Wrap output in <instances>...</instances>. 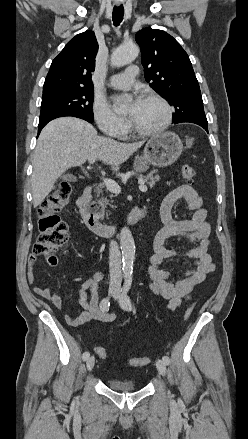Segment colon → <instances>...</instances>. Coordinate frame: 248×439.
Returning a JSON list of instances; mask_svg holds the SVG:
<instances>
[{
  "label": "colon",
  "instance_id": "obj_1",
  "mask_svg": "<svg viewBox=\"0 0 248 439\" xmlns=\"http://www.w3.org/2000/svg\"><path fill=\"white\" fill-rule=\"evenodd\" d=\"M183 179L192 184L195 177V169L191 165H184L182 168ZM72 193V185L69 182H62L49 195L39 209V230L40 234L34 245L33 252L42 255L50 265L57 264L56 251L67 242V224L58 216V212L68 203ZM193 311L190 305L185 313L184 320H187ZM95 352L102 359H106L107 351L102 347H96ZM148 357L131 358L128 364L133 367H141L150 363Z\"/></svg>",
  "mask_w": 248,
  "mask_h": 439
}]
</instances>
